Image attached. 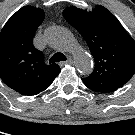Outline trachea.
I'll return each instance as SVG.
<instances>
[{
    "instance_id": "1",
    "label": "trachea",
    "mask_w": 135,
    "mask_h": 135,
    "mask_svg": "<svg viewBox=\"0 0 135 135\" xmlns=\"http://www.w3.org/2000/svg\"><path fill=\"white\" fill-rule=\"evenodd\" d=\"M66 57L64 54L58 52L55 53L49 60L50 63H55V62H60V61H65Z\"/></svg>"
}]
</instances>
